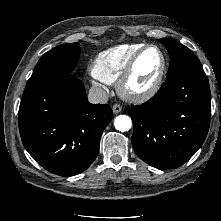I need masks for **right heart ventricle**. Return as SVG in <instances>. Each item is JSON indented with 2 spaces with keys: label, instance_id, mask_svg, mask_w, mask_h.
I'll list each match as a JSON object with an SVG mask.
<instances>
[{
  "label": "right heart ventricle",
  "instance_id": "1",
  "mask_svg": "<svg viewBox=\"0 0 221 221\" xmlns=\"http://www.w3.org/2000/svg\"><path fill=\"white\" fill-rule=\"evenodd\" d=\"M142 43L123 44L98 54L92 63V74L98 80L112 84L118 80L133 54Z\"/></svg>",
  "mask_w": 221,
  "mask_h": 221
}]
</instances>
